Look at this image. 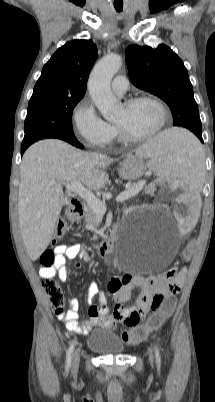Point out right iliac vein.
<instances>
[{
  "mask_svg": "<svg viewBox=\"0 0 215 402\" xmlns=\"http://www.w3.org/2000/svg\"><path fill=\"white\" fill-rule=\"evenodd\" d=\"M79 362H80V354H79V350H77L74 354L73 363H72V372L73 373H75L77 371Z\"/></svg>",
  "mask_w": 215,
  "mask_h": 402,
  "instance_id": "1",
  "label": "right iliac vein"
}]
</instances>
